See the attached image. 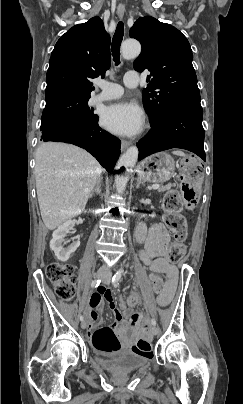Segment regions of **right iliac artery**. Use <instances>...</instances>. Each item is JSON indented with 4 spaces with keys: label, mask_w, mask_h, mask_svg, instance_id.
<instances>
[{
    "label": "right iliac artery",
    "mask_w": 243,
    "mask_h": 404,
    "mask_svg": "<svg viewBox=\"0 0 243 404\" xmlns=\"http://www.w3.org/2000/svg\"><path fill=\"white\" fill-rule=\"evenodd\" d=\"M100 283H101V280H100V279L94 280V281H92V283H91V287H92V288H96V287L99 286ZM79 319H80L81 321H83V320H84V317H83L82 315H80V316H79Z\"/></svg>",
    "instance_id": "right-iliac-artery-1"
}]
</instances>
